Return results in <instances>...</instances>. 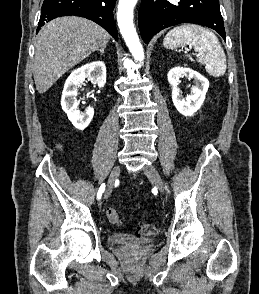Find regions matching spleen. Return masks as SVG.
<instances>
[{"label":"spleen","mask_w":259,"mask_h":294,"mask_svg":"<svg viewBox=\"0 0 259 294\" xmlns=\"http://www.w3.org/2000/svg\"><path fill=\"white\" fill-rule=\"evenodd\" d=\"M163 45L167 49L191 45L198 53V61L205 65L210 75L220 77L226 72L224 50L214 33L204 27L198 25L174 27L166 34Z\"/></svg>","instance_id":"spleen-1"}]
</instances>
